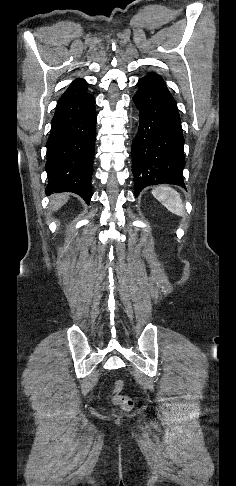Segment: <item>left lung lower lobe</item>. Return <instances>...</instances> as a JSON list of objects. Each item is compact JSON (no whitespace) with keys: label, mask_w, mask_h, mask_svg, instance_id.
Listing matches in <instances>:
<instances>
[{"label":"left lung lower lobe","mask_w":236,"mask_h":486,"mask_svg":"<svg viewBox=\"0 0 236 486\" xmlns=\"http://www.w3.org/2000/svg\"><path fill=\"white\" fill-rule=\"evenodd\" d=\"M137 85L133 100L140 126L131 151L135 196L155 184L185 188L184 137L176 101L161 81L143 77Z\"/></svg>","instance_id":"left-lung-lower-lobe-1"}]
</instances>
